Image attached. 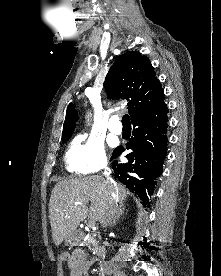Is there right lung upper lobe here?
<instances>
[{"label": "right lung upper lobe", "instance_id": "obj_1", "mask_svg": "<svg viewBox=\"0 0 221 276\" xmlns=\"http://www.w3.org/2000/svg\"><path fill=\"white\" fill-rule=\"evenodd\" d=\"M104 88L109 99L129 100L131 121L159 107L164 93L154 69L146 56L126 52L118 56L105 78ZM78 119L74 104L70 103L63 125L62 141L68 140Z\"/></svg>", "mask_w": 221, "mask_h": 276}]
</instances>
